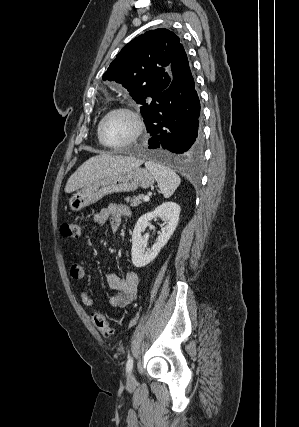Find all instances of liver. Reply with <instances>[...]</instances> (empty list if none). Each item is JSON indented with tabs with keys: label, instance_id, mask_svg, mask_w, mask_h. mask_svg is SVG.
Here are the masks:
<instances>
[{
	"label": "liver",
	"instance_id": "1",
	"mask_svg": "<svg viewBox=\"0 0 299 427\" xmlns=\"http://www.w3.org/2000/svg\"><path fill=\"white\" fill-rule=\"evenodd\" d=\"M142 160L102 153L85 161L68 179L65 192L71 193L97 180L131 168L139 167Z\"/></svg>",
	"mask_w": 299,
	"mask_h": 427
}]
</instances>
